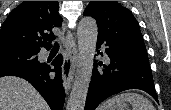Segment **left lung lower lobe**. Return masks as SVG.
Returning a JSON list of instances; mask_svg holds the SVG:
<instances>
[{
	"label": "left lung lower lobe",
	"mask_w": 171,
	"mask_h": 110,
	"mask_svg": "<svg viewBox=\"0 0 171 110\" xmlns=\"http://www.w3.org/2000/svg\"><path fill=\"white\" fill-rule=\"evenodd\" d=\"M103 43L107 46L110 64L106 66L94 61L95 66H103L104 69L95 67L93 70L85 110H95L104 99L128 89L143 90L158 102L148 58L122 51L99 38L97 48Z\"/></svg>",
	"instance_id": "left-lung-lower-lobe-1"
}]
</instances>
